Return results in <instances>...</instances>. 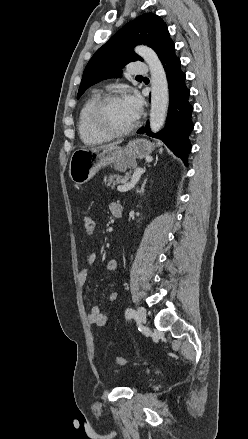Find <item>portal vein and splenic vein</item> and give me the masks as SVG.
I'll return each instance as SVG.
<instances>
[{
    "label": "portal vein and splenic vein",
    "mask_w": 248,
    "mask_h": 439,
    "mask_svg": "<svg viewBox=\"0 0 248 439\" xmlns=\"http://www.w3.org/2000/svg\"><path fill=\"white\" fill-rule=\"evenodd\" d=\"M142 173H143L142 169H140V168L136 169L131 181L129 183L124 182L123 185H119L117 187V190L119 192H126V191L132 189L135 186V184L137 183V181L139 180Z\"/></svg>",
    "instance_id": "obj_1"
}]
</instances>
